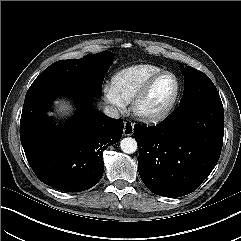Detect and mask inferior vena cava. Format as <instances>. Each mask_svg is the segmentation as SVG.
Masks as SVG:
<instances>
[{"label":"inferior vena cava","instance_id":"inferior-vena-cava-1","mask_svg":"<svg viewBox=\"0 0 241 241\" xmlns=\"http://www.w3.org/2000/svg\"><path fill=\"white\" fill-rule=\"evenodd\" d=\"M103 112L105 115L113 119H118L120 117L119 111L113 106H105Z\"/></svg>","mask_w":241,"mask_h":241}]
</instances>
